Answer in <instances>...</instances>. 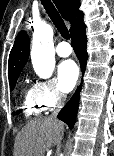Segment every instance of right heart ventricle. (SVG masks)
I'll return each instance as SVG.
<instances>
[{"mask_svg": "<svg viewBox=\"0 0 114 156\" xmlns=\"http://www.w3.org/2000/svg\"><path fill=\"white\" fill-rule=\"evenodd\" d=\"M22 108L27 117L39 116L45 110L43 105L37 100L33 87L25 89Z\"/></svg>", "mask_w": 114, "mask_h": 156, "instance_id": "obj_1", "label": "right heart ventricle"}]
</instances>
